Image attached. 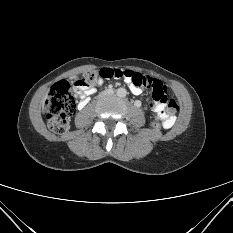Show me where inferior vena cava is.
<instances>
[{
  "mask_svg": "<svg viewBox=\"0 0 233 233\" xmlns=\"http://www.w3.org/2000/svg\"><path fill=\"white\" fill-rule=\"evenodd\" d=\"M113 94H114V91L111 88H107L106 90L102 89L99 92V95L101 96V98H106V96L111 97Z\"/></svg>",
  "mask_w": 233,
  "mask_h": 233,
  "instance_id": "obj_1",
  "label": "inferior vena cava"
}]
</instances>
